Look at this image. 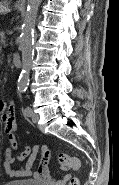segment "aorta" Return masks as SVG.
<instances>
[{
    "mask_svg": "<svg viewBox=\"0 0 119 185\" xmlns=\"http://www.w3.org/2000/svg\"><path fill=\"white\" fill-rule=\"evenodd\" d=\"M42 0H28L27 11L20 35L22 71L18 79V90L25 91L29 83V73L33 62V38L38 8Z\"/></svg>",
    "mask_w": 119,
    "mask_h": 185,
    "instance_id": "1",
    "label": "aorta"
}]
</instances>
